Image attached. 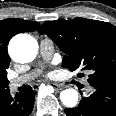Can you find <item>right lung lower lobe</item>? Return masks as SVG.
Wrapping results in <instances>:
<instances>
[{
    "mask_svg": "<svg viewBox=\"0 0 116 116\" xmlns=\"http://www.w3.org/2000/svg\"><path fill=\"white\" fill-rule=\"evenodd\" d=\"M35 92L16 93L7 90L0 95V116H29L34 107Z\"/></svg>",
    "mask_w": 116,
    "mask_h": 116,
    "instance_id": "1",
    "label": "right lung lower lobe"
}]
</instances>
